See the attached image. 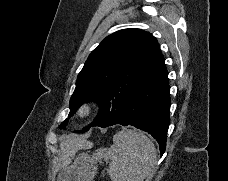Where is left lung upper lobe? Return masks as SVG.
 <instances>
[{
  "instance_id": "1",
  "label": "left lung upper lobe",
  "mask_w": 228,
  "mask_h": 181,
  "mask_svg": "<svg viewBox=\"0 0 228 181\" xmlns=\"http://www.w3.org/2000/svg\"><path fill=\"white\" fill-rule=\"evenodd\" d=\"M162 57L156 38L146 31L130 28L107 36L89 55L70 99L69 117L85 102L94 101L100 107L94 121L78 132L119 121L140 79Z\"/></svg>"
}]
</instances>
